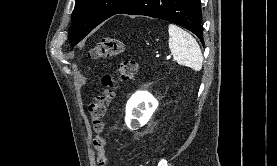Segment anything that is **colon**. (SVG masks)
I'll list each match as a JSON object with an SVG mask.
<instances>
[{"label": "colon", "instance_id": "1", "mask_svg": "<svg viewBox=\"0 0 277 166\" xmlns=\"http://www.w3.org/2000/svg\"><path fill=\"white\" fill-rule=\"evenodd\" d=\"M125 51L122 40L116 37H105L97 42L89 51V58L93 60L111 58L121 55ZM135 59H126L119 63L114 74H107L102 79V88L89 106L91 126L94 132L92 146L96 150V163L98 166L107 165L105 153V139L102 136L104 130V117L107 109L115 97L120 82L131 80L137 73Z\"/></svg>", "mask_w": 277, "mask_h": 166}]
</instances>
